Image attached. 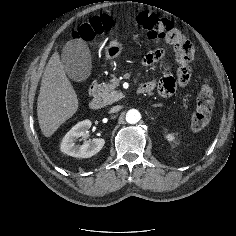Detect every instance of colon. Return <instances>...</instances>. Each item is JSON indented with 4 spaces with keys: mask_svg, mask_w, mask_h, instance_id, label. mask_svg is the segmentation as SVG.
<instances>
[{
    "mask_svg": "<svg viewBox=\"0 0 236 236\" xmlns=\"http://www.w3.org/2000/svg\"><path fill=\"white\" fill-rule=\"evenodd\" d=\"M137 23L147 32L150 40H166L173 44L177 49L185 43L184 36L174 27L172 22L164 17L148 12H142ZM117 26L115 19L106 16H94L80 23L74 32V38L85 42H90L95 38L113 31ZM188 77L182 78V83L186 84ZM214 107V95L211 86L203 83L198 92L196 109L191 118V128L195 132L205 129L211 118Z\"/></svg>",
    "mask_w": 236,
    "mask_h": 236,
    "instance_id": "1",
    "label": "colon"
}]
</instances>
